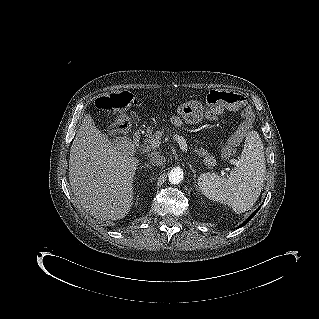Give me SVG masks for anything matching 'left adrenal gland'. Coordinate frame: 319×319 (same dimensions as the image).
<instances>
[{"label": "left adrenal gland", "mask_w": 319, "mask_h": 319, "mask_svg": "<svg viewBox=\"0 0 319 319\" xmlns=\"http://www.w3.org/2000/svg\"><path fill=\"white\" fill-rule=\"evenodd\" d=\"M190 170L193 172L194 174V178L196 177V170L193 168V166L191 164H188Z\"/></svg>", "instance_id": "obj_1"}]
</instances>
